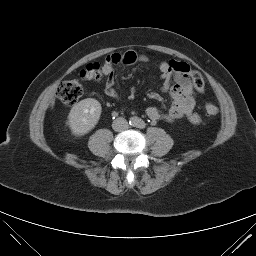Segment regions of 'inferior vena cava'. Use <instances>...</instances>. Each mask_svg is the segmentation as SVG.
Returning a JSON list of instances; mask_svg holds the SVG:
<instances>
[{
	"label": "inferior vena cava",
	"instance_id": "obj_1",
	"mask_svg": "<svg viewBox=\"0 0 256 256\" xmlns=\"http://www.w3.org/2000/svg\"><path fill=\"white\" fill-rule=\"evenodd\" d=\"M112 128L116 132H122L128 128V122L125 118L118 117L113 121Z\"/></svg>",
	"mask_w": 256,
	"mask_h": 256
}]
</instances>
